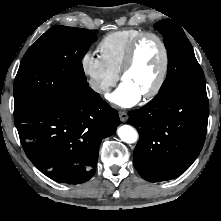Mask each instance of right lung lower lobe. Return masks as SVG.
Here are the masks:
<instances>
[{
    "instance_id": "right-lung-lower-lobe-1",
    "label": "right lung lower lobe",
    "mask_w": 221,
    "mask_h": 221,
    "mask_svg": "<svg viewBox=\"0 0 221 221\" xmlns=\"http://www.w3.org/2000/svg\"><path fill=\"white\" fill-rule=\"evenodd\" d=\"M14 121L31 162L49 178L69 184L94 175L102 139L120 124L117 111L90 87Z\"/></svg>"
}]
</instances>
